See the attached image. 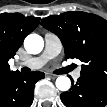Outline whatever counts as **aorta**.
<instances>
[{
    "mask_svg": "<svg viewBox=\"0 0 107 107\" xmlns=\"http://www.w3.org/2000/svg\"><path fill=\"white\" fill-rule=\"evenodd\" d=\"M24 47L30 54H38L43 50L44 40L38 34H29L24 40ZM56 87L60 91H68L71 87V81L67 76H59L56 79Z\"/></svg>",
    "mask_w": 107,
    "mask_h": 107,
    "instance_id": "1",
    "label": "aorta"
}]
</instances>
